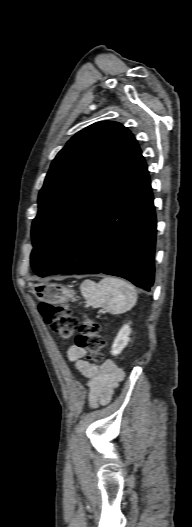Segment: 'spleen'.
<instances>
[{
    "label": "spleen",
    "mask_w": 192,
    "mask_h": 527,
    "mask_svg": "<svg viewBox=\"0 0 192 527\" xmlns=\"http://www.w3.org/2000/svg\"><path fill=\"white\" fill-rule=\"evenodd\" d=\"M80 289L93 307H101L115 314L129 311L137 301L134 286L115 277H105L99 283L85 280Z\"/></svg>",
    "instance_id": "spleen-1"
}]
</instances>
